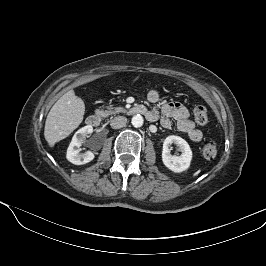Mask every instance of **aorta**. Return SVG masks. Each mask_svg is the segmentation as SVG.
Listing matches in <instances>:
<instances>
[{"label": "aorta", "mask_w": 266, "mask_h": 266, "mask_svg": "<svg viewBox=\"0 0 266 266\" xmlns=\"http://www.w3.org/2000/svg\"><path fill=\"white\" fill-rule=\"evenodd\" d=\"M131 123L136 128L141 127L143 125V117L137 114L132 117Z\"/></svg>", "instance_id": "aorta-1"}]
</instances>
